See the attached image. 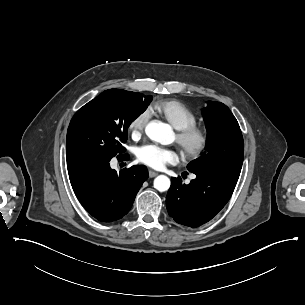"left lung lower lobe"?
I'll return each mask as SVG.
<instances>
[{
    "label": "left lung lower lobe",
    "mask_w": 305,
    "mask_h": 305,
    "mask_svg": "<svg viewBox=\"0 0 305 305\" xmlns=\"http://www.w3.org/2000/svg\"><path fill=\"white\" fill-rule=\"evenodd\" d=\"M191 172L197 177L188 185L183 184L180 177L171 179L166 206L177 223L195 228L211 220L226 205L240 171L205 169Z\"/></svg>",
    "instance_id": "1"
}]
</instances>
